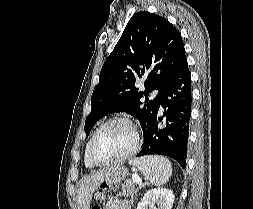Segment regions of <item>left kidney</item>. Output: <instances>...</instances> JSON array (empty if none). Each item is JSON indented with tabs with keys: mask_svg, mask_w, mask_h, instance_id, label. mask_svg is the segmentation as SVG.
Returning <instances> with one entry per match:
<instances>
[{
	"mask_svg": "<svg viewBox=\"0 0 253 209\" xmlns=\"http://www.w3.org/2000/svg\"><path fill=\"white\" fill-rule=\"evenodd\" d=\"M174 203V194L167 188L148 190L136 209H171Z\"/></svg>",
	"mask_w": 253,
	"mask_h": 209,
	"instance_id": "5707ae66",
	"label": "left kidney"
}]
</instances>
